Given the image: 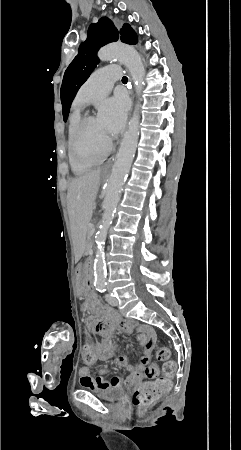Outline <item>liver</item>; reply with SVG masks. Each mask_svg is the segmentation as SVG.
Listing matches in <instances>:
<instances>
[{
	"label": "liver",
	"instance_id": "liver-1",
	"mask_svg": "<svg viewBox=\"0 0 241 450\" xmlns=\"http://www.w3.org/2000/svg\"><path fill=\"white\" fill-rule=\"evenodd\" d=\"M102 168L75 178L68 188L67 206L71 224H89L100 186Z\"/></svg>",
	"mask_w": 241,
	"mask_h": 450
}]
</instances>
